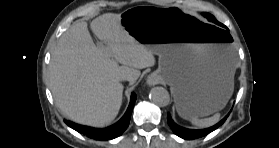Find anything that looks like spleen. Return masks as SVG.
<instances>
[{"label": "spleen", "mask_w": 279, "mask_h": 148, "mask_svg": "<svg viewBox=\"0 0 279 148\" xmlns=\"http://www.w3.org/2000/svg\"><path fill=\"white\" fill-rule=\"evenodd\" d=\"M190 120L192 124H194L197 127L200 128L210 127L216 124L220 120V113H216L209 118L199 119L197 117H193Z\"/></svg>", "instance_id": "spleen-1"}]
</instances>
